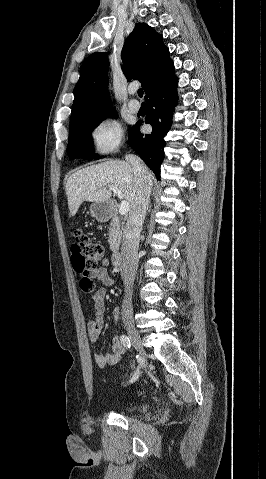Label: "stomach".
Instances as JSON below:
<instances>
[{"instance_id":"1","label":"stomach","mask_w":266,"mask_h":479,"mask_svg":"<svg viewBox=\"0 0 266 479\" xmlns=\"http://www.w3.org/2000/svg\"><path fill=\"white\" fill-rule=\"evenodd\" d=\"M111 204L109 202H93L90 206L92 217L100 222H105L110 218Z\"/></svg>"}]
</instances>
